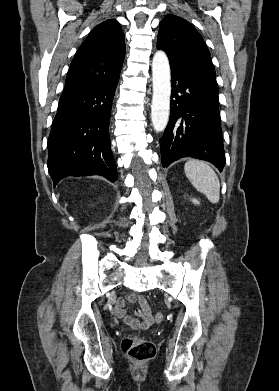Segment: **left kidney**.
<instances>
[{
	"label": "left kidney",
	"instance_id": "obj_1",
	"mask_svg": "<svg viewBox=\"0 0 279 391\" xmlns=\"http://www.w3.org/2000/svg\"><path fill=\"white\" fill-rule=\"evenodd\" d=\"M192 202H193L194 204H199V202H198L197 200H195V199H192Z\"/></svg>",
	"mask_w": 279,
	"mask_h": 391
}]
</instances>
